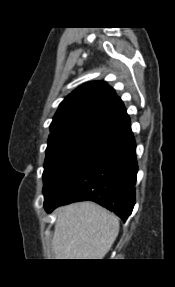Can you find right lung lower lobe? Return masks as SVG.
I'll return each mask as SVG.
<instances>
[{
	"label": "right lung lower lobe",
	"instance_id": "right-lung-lower-lobe-1",
	"mask_svg": "<svg viewBox=\"0 0 175 287\" xmlns=\"http://www.w3.org/2000/svg\"><path fill=\"white\" fill-rule=\"evenodd\" d=\"M130 119L117 125L75 163L44 195L47 212L71 202L91 200L123 221L135 204L136 144Z\"/></svg>",
	"mask_w": 175,
	"mask_h": 287
}]
</instances>
